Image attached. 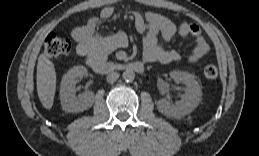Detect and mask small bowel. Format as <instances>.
Masks as SVG:
<instances>
[{"mask_svg":"<svg viewBox=\"0 0 259 156\" xmlns=\"http://www.w3.org/2000/svg\"><path fill=\"white\" fill-rule=\"evenodd\" d=\"M136 30L143 36V60L147 63H171L181 60V55L174 49L167 48V44L178 33L180 36H192L195 46L187 61L197 63L207 56L210 47L196 24L183 22L178 28L167 17L146 12L144 15L131 12ZM114 15V8L105 6L99 16L92 17L88 22L72 31V38L77 44L80 55L92 59L104 60L112 51L124 48L128 44L127 36L122 33L113 35H99L96 32L100 19L107 20Z\"/></svg>","mask_w":259,"mask_h":156,"instance_id":"small-bowel-1","label":"small bowel"}]
</instances>
